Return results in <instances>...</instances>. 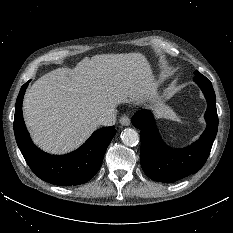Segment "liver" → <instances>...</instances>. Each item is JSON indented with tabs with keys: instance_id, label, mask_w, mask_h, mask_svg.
I'll return each mask as SVG.
<instances>
[{
	"instance_id": "obj_1",
	"label": "liver",
	"mask_w": 233,
	"mask_h": 233,
	"mask_svg": "<svg viewBox=\"0 0 233 233\" xmlns=\"http://www.w3.org/2000/svg\"><path fill=\"white\" fill-rule=\"evenodd\" d=\"M157 87L143 54L95 55L35 81L24 97V120L35 144L63 154L82 145L97 119L121 103L150 101L158 114L166 113Z\"/></svg>"
}]
</instances>
